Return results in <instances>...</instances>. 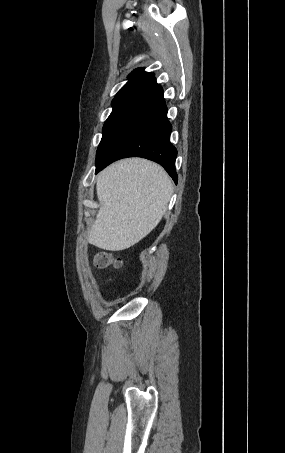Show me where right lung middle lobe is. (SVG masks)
Masks as SVG:
<instances>
[{"instance_id": "dd1d6c3e", "label": "right lung middle lobe", "mask_w": 285, "mask_h": 453, "mask_svg": "<svg viewBox=\"0 0 285 453\" xmlns=\"http://www.w3.org/2000/svg\"><path fill=\"white\" fill-rule=\"evenodd\" d=\"M124 100H113L112 101V107H113V110L110 114V116L108 117V119L106 120L105 124H104V127H103V135L104 133L107 131L110 123L112 122L113 120V117L115 116L116 112L118 111V109L120 108V106L123 104Z\"/></svg>"}]
</instances>
